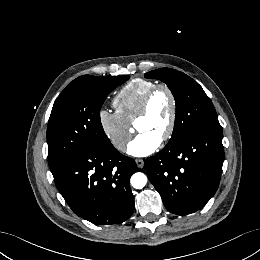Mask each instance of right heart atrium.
Returning <instances> with one entry per match:
<instances>
[{"instance_id": "obj_1", "label": "right heart atrium", "mask_w": 260, "mask_h": 260, "mask_svg": "<svg viewBox=\"0 0 260 260\" xmlns=\"http://www.w3.org/2000/svg\"><path fill=\"white\" fill-rule=\"evenodd\" d=\"M100 128L117 150H123L130 138V123H128L117 111L102 108L98 112Z\"/></svg>"}]
</instances>
